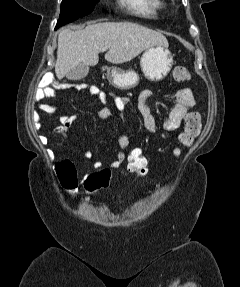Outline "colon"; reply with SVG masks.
Listing matches in <instances>:
<instances>
[{
  "instance_id": "5ec220e1",
  "label": "colon",
  "mask_w": 240,
  "mask_h": 287,
  "mask_svg": "<svg viewBox=\"0 0 240 287\" xmlns=\"http://www.w3.org/2000/svg\"><path fill=\"white\" fill-rule=\"evenodd\" d=\"M175 81L183 83L191 78L190 71L185 66H176L173 70ZM72 88L85 89L86 84L72 85ZM185 126L178 135V147L175 154L179 155L183 148L189 147L198 136L201 122L196 112H189L185 117ZM126 173L134 179L145 177L149 173V162L144 151L138 146H131L126 155ZM56 175L66 189H73L76 185V171L72 162L62 161L56 165ZM114 183L111 172L101 170L87 176L82 184L89 195H94L98 190L108 188Z\"/></svg>"
}]
</instances>
